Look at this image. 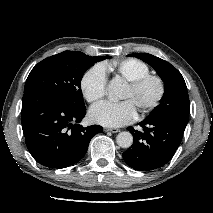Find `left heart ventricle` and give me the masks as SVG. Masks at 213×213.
Masks as SVG:
<instances>
[{"label":"left heart ventricle","instance_id":"obj_1","mask_svg":"<svg viewBox=\"0 0 213 213\" xmlns=\"http://www.w3.org/2000/svg\"><path fill=\"white\" fill-rule=\"evenodd\" d=\"M156 93V86L153 83H149L144 86L141 90L134 92L127 87L123 99L131 100L136 108H140L143 104L147 103L153 98Z\"/></svg>","mask_w":213,"mask_h":213}]
</instances>
